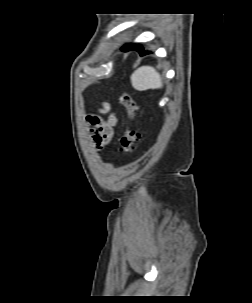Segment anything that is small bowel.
<instances>
[{
	"label": "small bowel",
	"mask_w": 252,
	"mask_h": 303,
	"mask_svg": "<svg viewBox=\"0 0 252 303\" xmlns=\"http://www.w3.org/2000/svg\"><path fill=\"white\" fill-rule=\"evenodd\" d=\"M116 117L111 115L107 120H103L99 116L91 115L88 117L92 139L98 149L103 148L111 142L114 134V125Z\"/></svg>",
	"instance_id": "c3829d8e"
}]
</instances>
